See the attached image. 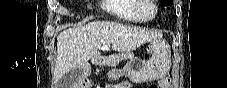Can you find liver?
I'll use <instances>...</instances> for the list:
<instances>
[{"instance_id": "6515ba94", "label": "liver", "mask_w": 227, "mask_h": 88, "mask_svg": "<svg viewBox=\"0 0 227 88\" xmlns=\"http://www.w3.org/2000/svg\"><path fill=\"white\" fill-rule=\"evenodd\" d=\"M159 34L117 22L97 21L62 31L57 38V60L54 82L75 68L84 66L88 60L99 55L106 45L114 51H132Z\"/></svg>"}]
</instances>
